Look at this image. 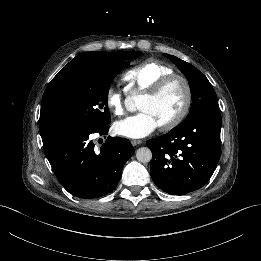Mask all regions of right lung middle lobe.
<instances>
[{
  "label": "right lung middle lobe",
  "instance_id": "obj_1",
  "mask_svg": "<svg viewBox=\"0 0 261 261\" xmlns=\"http://www.w3.org/2000/svg\"><path fill=\"white\" fill-rule=\"evenodd\" d=\"M128 52L124 60L139 56ZM126 62H84L68 71L58 84L67 131L94 132L110 123L108 91L115 75ZM43 146L55 136L40 132Z\"/></svg>",
  "mask_w": 261,
  "mask_h": 261
}]
</instances>
